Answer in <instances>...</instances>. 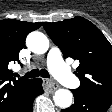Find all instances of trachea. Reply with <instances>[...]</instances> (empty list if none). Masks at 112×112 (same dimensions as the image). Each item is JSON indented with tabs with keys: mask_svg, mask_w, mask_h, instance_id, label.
Instances as JSON below:
<instances>
[{
	"mask_svg": "<svg viewBox=\"0 0 112 112\" xmlns=\"http://www.w3.org/2000/svg\"><path fill=\"white\" fill-rule=\"evenodd\" d=\"M41 76L43 78H50V74L45 69H33L30 72H27L22 78H35Z\"/></svg>",
	"mask_w": 112,
	"mask_h": 112,
	"instance_id": "trachea-1",
	"label": "trachea"
}]
</instances>
